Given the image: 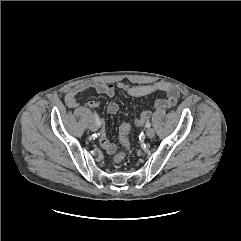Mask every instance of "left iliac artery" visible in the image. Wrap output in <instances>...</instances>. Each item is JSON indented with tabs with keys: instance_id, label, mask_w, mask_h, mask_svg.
Returning a JSON list of instances; mask_svg holds the SVG:
<instances>
[{
	"instance_id": "left-iliac-artery-1",
	"label": "left iliac artery",
	"mask_w": 241,
	"mask_h": 241,
	"mask_svg": "<svg viewBox=\"0 0 241 241\" xmlns=\"http://www.w3.org/2000/svg\"><path fill=\"white\" fill-rule=\"evenodd\" d=\"M147 128H150L151 127V124L149 122L146 123L145 125Z\"/></svg>"
}]
</instances>
